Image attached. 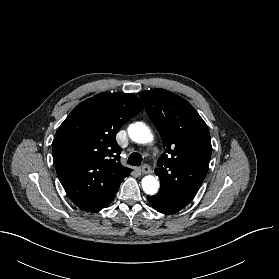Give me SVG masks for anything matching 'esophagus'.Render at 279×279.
Segmentation results:
<instances>
[{
  "label": "esophagus",
  "mask_w": 279,
  "mask_h": 279,
  "mask_svg": "<svg viewBox=\"0 0 279 279\" xmlns=\"http://www.w3.org/2000/svg\"><path fill=\"white\" fill-rule=\"evenodd\" d=\"M143 174H148L151 172V168L148 164H144L141 168Z\"/></svg>",
  "instance_id": "34e87169"
}]
</instances>
